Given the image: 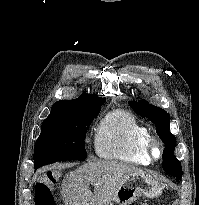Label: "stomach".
<instances>
[{"label":"stomach","mask_w":199,"mask_h":205,"mask_svg":"<svg viewBox=\"0 0 199 205\" xmlns=\"http://www.w3.org/2000/svg\"><path fill=\"white\" fill-rule=\"evenodd\" d=\"M162 190L163 185L148 174L128 175L120 183L113 201L116 205H130L142 195L158 197Z\"/></svg>","instance_id":"1"}]
</instances>
